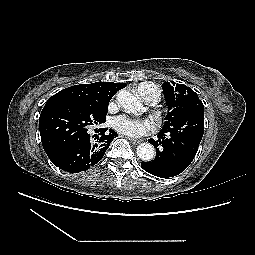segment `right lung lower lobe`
<instances>
[{
  "instance_id": "98d812e1",
  "label": "right lung lower lobe",
  "mask_w": 255,
  "mask_h": 255,
  "mask_svg": "<svg viewBox=\"0 0 255 255\" xmlns=\"http://www.w3.org/2000/svg\"><path fill=\"white\" fill-rule=\"evenodd\" d=\"M117 136L114 131L110 130L108 133L107 128H101L92 137L85 133L63 145L48 142L42 136L41 140L47 156L57 167L70 173H77L98 163L112 139Z\"/></svg>"
}]
</instances>
